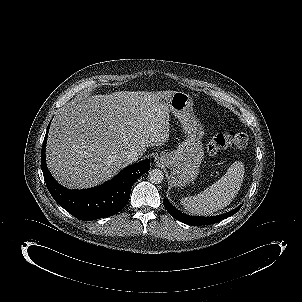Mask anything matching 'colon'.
<instances>
[{"instance_id":"1","label":"colon","mask_w":302,"mask_h":302,"mask_svg":"<svg viewBox=\"0 0 302 302\" xmlns=\"http://www.w3.org/2000/svg\"><path fill=\"white\" fill-rule=\"evenodd\" d=\"M248 136L243 132H229L212 137L206 144V151L210 155L217 154L228 147L245 148Z\"/></svg>"}]
</instances>
